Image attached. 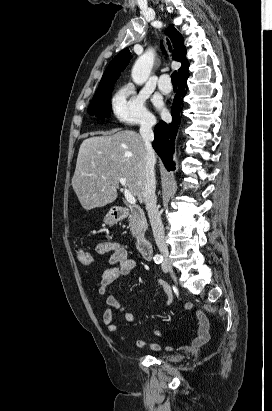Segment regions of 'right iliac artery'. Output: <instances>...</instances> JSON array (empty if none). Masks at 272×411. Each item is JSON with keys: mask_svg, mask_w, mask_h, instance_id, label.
<instances>
[{"mask_svg": "<svg viewBox=\"0 0 272 411\" xmlns=\"http://www.w3.org/2000/svg\"><path fill=\"white\" fill-rule=\"evenodd\" d=\"M154 261L156 264H160L163 261V257L162 256H156L154 257Z\"/></svg>", "mask_w": 272, "mask_h": 411, "instance_id": "82829eb1", "label": "right iliac artery"}]
</instances>
